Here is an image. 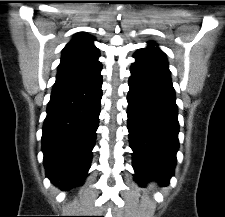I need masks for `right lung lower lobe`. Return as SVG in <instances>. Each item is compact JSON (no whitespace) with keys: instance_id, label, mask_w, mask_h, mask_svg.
<instances>
[{"instance_id":"98d812e1","label":"right lung lower lobe","mask_w":225,"mask_h":217,"mask_svg":"<svg viewBox=\"0 0 225 217\" xmlns=\"http://www.w3.org/2000/svg\"><path fill=\"white\" fill-rule=\"evenodd\" d=\"M102 77L69 86L53 87L43 125L42 151L46 174L64 182L65 190L82 185L91 165Z\"/></svg>"}]
</instances>
